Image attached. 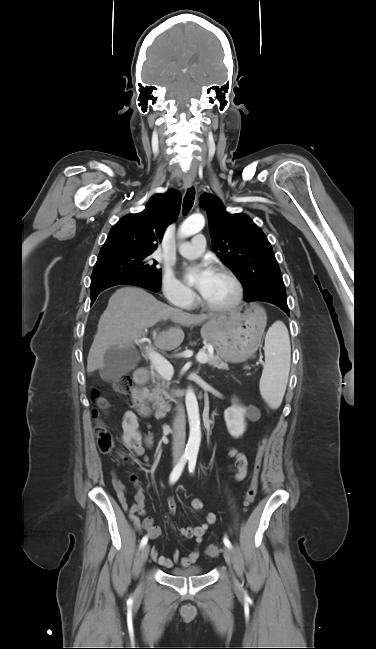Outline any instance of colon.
I'll list each match as a JSON object with an SVG mask.
<instances>
[{
    "mask_svg": "<svg viewBox=\"0 0 376 649\" xmlns=\"http://www.w3.org/2000/svg\"><path fill=\"white\" fill-rule=\"evenodd\" d=\"M132 387V382L131 379L128 375H122L112 382V388L116 393L119 394H127L130 392ZM96 402L98 407L101 410H106L108 408V402L105 398L102 397H97L95 396ZM93 416L97 420L96 426H95V434L96 438L98 441V445L101 451L103 452H109L114 448V438L112 433L108 430L106 425L98 419L99 414L95 410L93 411ZM266 450V439L261 438L258 441V447H257V452L255 456V475L254 478L245 494L244 498V506L248 507L250 506L257 495V490H258V474L262 466V461L263 457L265 454ZM121 456L124 458L125 456L121 454ZM220 548L216 544H211L207 547L206 549V554L210 557H216L220 554Z\"/></svg>",
    "mask_w": 376,
    "mask_h": 649,
    "instance_id": "colon-1",
    "label": "colon"
}]
</instances>
